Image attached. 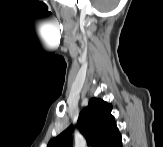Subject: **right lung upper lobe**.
I'll use <instances>...</instances> for the list:
<instances>
[{
  "mask_svg": "<svg viewBox=\"0 0 163 147\" xmlns=\"http://www.w3.org/2000/svg\"><path fill=\"white\" fill-rule=\"evenodd\" d=\"M112 105L102 99L92 98L79 115L77 128L92 147H110L121 135L111 115ZM74 126L50 140L48 147H69Z\"/></svg>",
  "mask_w": 163,
  "mask_h": 147,
  "instance_id": "1",
  "label": "right lung upper lobe"
}]
</instances>
